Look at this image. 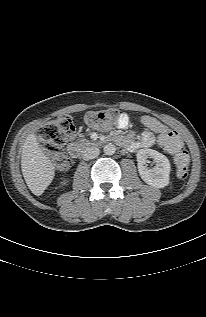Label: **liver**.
Returning a JSON list of instances; mask_svg holds the SVG:
<instances>
[{
	"mask_svg": "<svg viewBox=\"0 0 206 317\" xmlns=\"http://www.w3.org/2000/svg\"><path fill=\"white\" fill-rule=\"evenodd\" d=\"M21 168L28 188L36 196L43 194L54 178V165L43 153L34 133L23 144Z\"/></svg>",
	"mask_w": 206,
	"mask_h": 317,
	"instance_id": "6515ba94",
	"label": "liver"
}]
</instances>
